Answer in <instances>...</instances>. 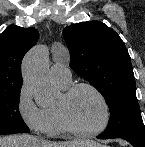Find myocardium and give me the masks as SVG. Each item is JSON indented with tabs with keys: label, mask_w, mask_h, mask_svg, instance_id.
I'll return each instance as SVG.
<instances>
[{
	"label": "myocardium",
	"mask_w": 145,
	"mask_h": 147,
	"mask_svg": "<svg viewBox=\"0 0 145 147\" xmlns=\"http://www.w3.org/2000/svg\"><path fill=\"white\" fill-rule=\"evenodd\" d=\"M80 89H88L92 91L99 98V100L101 101L104 107L105 110L104 121L102 125L96 129L88 130V131L81 130L78 127H76L68 117L66 111V104ZM55 107L59 120L62 126L64 127V129L66 130V132H69L78 137L88 138V137L96 136L102 133L103 131H105L111 121L112 112L107 98L96 86L90 83H76L68 86L62 94V101L59 104H57Z\"/></svg>",
	"instance_id": "myocardium-1"
}]
</instances>
